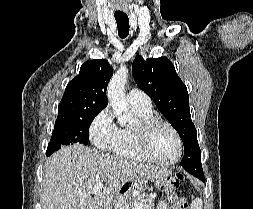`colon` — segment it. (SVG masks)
<instances>
[{
    "label": "colon",
    "mask_w": 253,
    "mask_h": 209,
    "mask_svg": "<svg viewBox=\"0 0 253 209\" xmlns=\"http://www.w3.org/2000/svg\"><path fill=\"white\" fill-rule=\"evenodd\" d=\"M182 176L180 174L174 176V177H169L167 182V190H171L176 188L181 180ZM176 209H189V204L188 201L185 198H181L177 201V203L175 204Z\"/></svg>",
    "instance_id": "obj_1"
}]
</instances>
